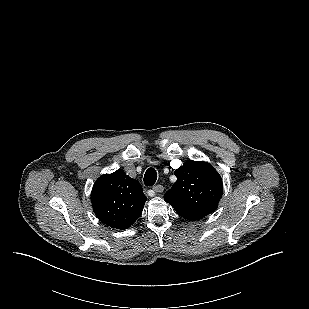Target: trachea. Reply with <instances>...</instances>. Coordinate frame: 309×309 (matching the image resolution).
Masks as SVG:
<instances>
[{"label": "trachea", "mask_w": 309, "mask_h": 309, "mask_svg": "<svg viewBox=\"0 0 309 309\" xmlns=\"http://www.w3.org/2000/svg\"><path fill=\"white\" fill-rule=\"evenodd\" d=\"M157 180V172L154 168H149L144 174V183L147 186H152Z\"/></svg>", "instance_id": "3493384b"}]
</instances>
